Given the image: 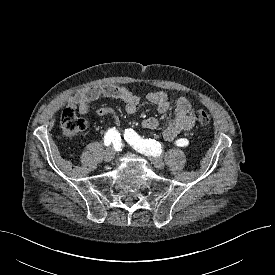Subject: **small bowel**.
<instances>
[{
	"label": "small bowel",
	"instance_id": "obj_1",
	"mask_svg": "<svg viewBox=\"0 0 275 275\" xmlns=\"http://www.w3.org/2000/svg\"><path fill=\"white\" fill-rule=\"evenodd\" d=\"M100 97L118 99L125 103V112L132 115L136 112L142 102V98L132 92L130 89L121 85H91L80 88L67 98V106L81 114L89 112L90 104ZM147 100L156 106L157 111L161 114L168 113L167 124L163 130V137L172 141L182 132H189L195 125L193 117L194 109L186 97L177 98L172 104L164 91L151 92L147 95ZM99 116H109L114 123L118 124V117L114 110L108 107H101L96 110ZM160 122L155 117H148L142 121V127L145 129H156Z\"/></svg>",
	"mask_w": 275,
	"mask_h": 275
}]
</instances>
